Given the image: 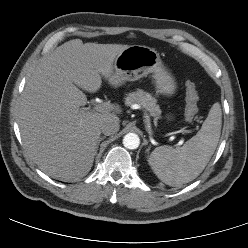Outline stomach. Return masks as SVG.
<instances>
[{
  "label": "stomach",
  "instance_id": "1",
  "mask_svg": "<svg viewBox=\"0 0 248 248\" xmlns=\"http://www.w3.org/2000/svg\"><path fill=\"white\" fill-rule=\"evenodd\" d=\"M114 65L117 82L113 85L135 81L153 73V82L158 93L171 96L176 91L174 77L153 48L142 45L129 46L116 57Z\"/></svg>",
  "mask_w": 248,
  "mask_h": 248
}]
</instances>
